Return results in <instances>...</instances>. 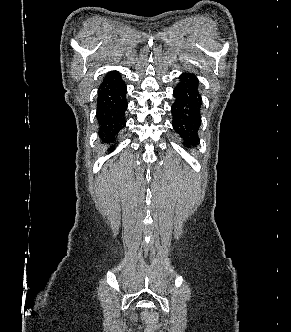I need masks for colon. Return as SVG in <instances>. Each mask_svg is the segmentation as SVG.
<instances>
[{"label":"colon","mask_w":291,"mask_h":332,"mask_svg":"<svg viewBox=\"0 0 291 332\" xmlns=\"http://www.w3.org/2000/svg\"><path fill=\"white\" fill-rule=\"evenodd\" d=\"M144 319L147 324L146 332H156L159 328L157 316L153 312H147L144 316Z\"/></svg>","instance_id":"5ec220e1"}]
</instances>
